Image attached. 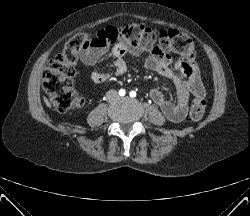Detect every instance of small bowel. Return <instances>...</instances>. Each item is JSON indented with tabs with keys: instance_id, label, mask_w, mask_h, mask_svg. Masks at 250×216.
<instances>
[{
	"instance_id": "small-bowel-1",
	"label": "small bowel",
	"mask_w": 250,
	"mask_h": 216,
	"mask_svg": "<svg viewBox=\"0 0 250 216\" xmlns=\"http://www.w3.org/2000/svg\"><path fill=\"white\" fill-rule=\"evenodd\" d=\"M142 51V48L132 47L123 41L116 43L109 51L113 59V75L116 77L123 76L127 71L125 57H139ZM106 52L107 47H87L80 52L81 61L86 66H93ZM173 63L174 67H172ZM145 67L170 79L176 88L175 101L166 99L158 89H153L150 92L151 99L171 122H180L186 117L191 96H205V89L197 66L189 60L180 59L174 62L161 43L152 46L146 57ZM111 77L110 74L101 73L94 69L90 72V78L96 84H104Z\"/></svg>"
}]
</instances>
